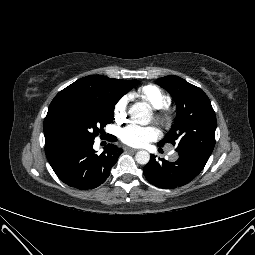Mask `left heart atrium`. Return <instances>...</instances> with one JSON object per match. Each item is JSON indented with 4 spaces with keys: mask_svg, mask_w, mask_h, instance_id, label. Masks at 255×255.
<instances>
[{
    "mask_svg": "<svg viewBox=\"0 0 255 255\" xmlns=\"http://www.w3.org/2000/svg\"><path fill=\"white\" fill-rule=\"evenodd\" d=\"M159 131L153 126H139L130 124L119 132L120 140L132 147H143L157 139Z\"/></svg>",
    "mask_w": 255,
    "mask_h": 255,
    "instance_id": "left-heart-atrium-1",
    "label": "left heart atrium"
}]
</instances>
